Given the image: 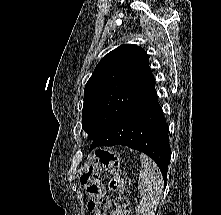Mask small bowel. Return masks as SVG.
Returning a JSON list of instances; mask_svg holds the SVG:
<instances>
[{
  "instance_id": "small-bowel-1",
  "label": "small bowel",
  "mask_w": 221,
  "mask_h": 215,
  "mask_svg": "<svg viewBox=\"0 0 221 215\" xmlns=\"http://www.w3.org/2000/svg\"><path fill=\"white\" fill-rule=\"evenodd\" d=\"M110 215H120L117 211H112Z\"/></svg>"
}]
</instances>
